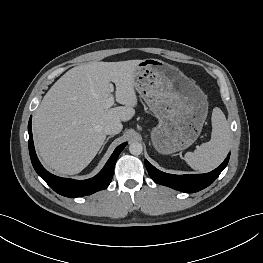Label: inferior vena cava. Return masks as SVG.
<instances>
[{
    "instance_id": "obj_1",
    "label": "inferior vena cava",
    "mask_w": 263,
    "mask_h": 263,
    "mask_svg": "<svg viewBox=\"0 0 263 263\" xmlns=\"http://www.w3.org/2000/svg\"><path fill=\"white\" fill-rule=\"evenodd\" d=\"M121 130H122V124L120 121L110 122L104 127V132L109 135L118 134L121 132Z\"/></svg>"
}]
</instances>
